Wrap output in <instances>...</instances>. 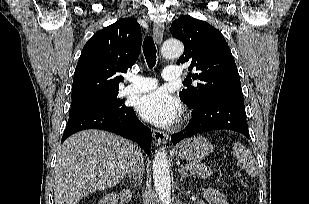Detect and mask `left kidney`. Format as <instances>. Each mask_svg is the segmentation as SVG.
<instances>
[{"mask_svg":"<svg viewBox=\"0 0 309 204\" xmlns=\"http://www.w3.org/2000/svg\"><path fill=\"white\" fill-rule=\"evenodd\" d=\"M203 196L209 204H229L224 194L215 189H206L203 192Z\"/></svg>","mask_w":309,"mask_h":204,"instance_id":"left-kidney-1","label":"left kidney"}]
</instances>
